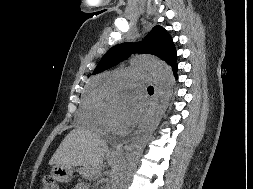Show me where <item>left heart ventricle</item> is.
I'll list each match as a JSON object with an SVG mask.
<instances>
[{
    "label": "left heart ventricle",
    "instance_id": "left-heart-ventricle-1",
    "mask_svg": "<svg viewBox=\"0 0 253 189\" xmlns=\"http://www.w3.org/2000/svg\"><path fill=\"white\" fill-rule=\"evenodd\" d=\"M111 112H112V114H113V116H114V118H115V120H116V122L118 123L119 121V116H120V114H121V108H114V109H112L111 110ZM119 124V123H118Z\"/></svg>",
    "mask_w": 253,
    "mask_h": 189
}]
</instances>
